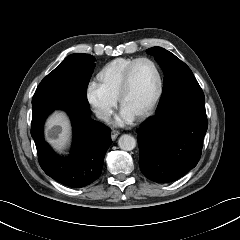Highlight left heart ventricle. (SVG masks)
<instances>
[{"instance_id": "1", "label": "left heart ventricle", "mask_w": 240, "mask_h": 240, "mask_svg": "<svg viewBox=\"0 0 240 240\" xmlns=\"http://www.w3.org/2000/svg\"><path fill=\"white\" fill-rule=\"evenodd\" d=\"M157 75L149 62L138 63L131 74L130 90L122 108L137 117L152 102L157 91Z\"/></svg>"}]
</instances>
